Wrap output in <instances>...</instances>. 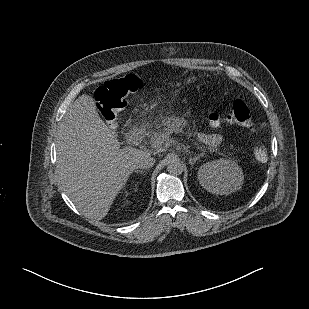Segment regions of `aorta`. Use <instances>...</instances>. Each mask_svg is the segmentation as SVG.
<instances>
[{
    "label": "aorta",
    "instance_id": "aorta-1",
    "mask_svg": "<svg viewBox=\"0 0 309 309\" xmlns=\"http://www.w3.org/2000/svg\"><path fill=\"white\" fill-rule=\"evenodd\" d=\"M184 170L183 162L177 156H170L167 159V171L172 175H180Z\"/></svg>",
    "mask_w": 309,
    "mask_h": 309
}]
</instances>
